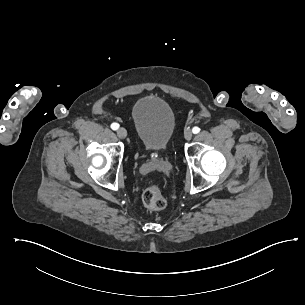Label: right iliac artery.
<instances>
[{"label": "right iliac artery", "instance_id": "obj_1", "mask_svg": "<svg viewBox=\"0 0 305 305\" xmlns=\"http://www.w3.org/2000/svg\"><path fill=\"white\" fill-rule=\"evenodd\" d=\"M111 128H112L113 130H117V129L119 128V124H117V123H112V124H111Z\"/></svg>", "mask_w": 305, "mask_h": 305}]
</instances>
